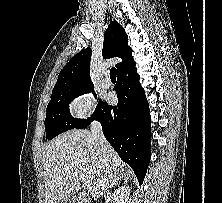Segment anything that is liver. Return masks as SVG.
<instances>
[{"instance_id": "6515ba94", "label": "liver", "mask_w": 222, "mask_h": 203, "mask_svg": "<svg viewBox=\"0 0 222 203\" xmlns=\"http://www.w3.org/2000/svg\"><path fill=\"white\" fill-rule=\"evenodd\" d=\"M45 203H61L81 189L83 179L88 194L99 198L118 179L126 177L125 163L110 146L103 158L89 130H70L43 149Z\"/></svg>"}]
</instances>
